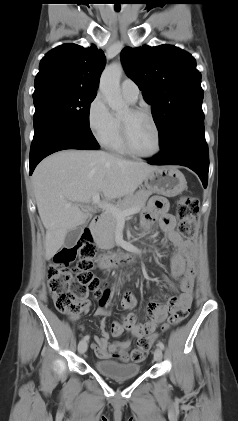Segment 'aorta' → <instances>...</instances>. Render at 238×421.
I'll list each match as a JSON object with an SVG mask.
<instances>
[{"label":"aorta","instance_id":"aorta-1","mask_svg":"<svg viewBox=\"0 0 238 421\" xmlns=\"http://www.w3.org/2000/svg\"><path fill=\"white\" fill-rule=\"evenodd\" d=\"M123 67L120 62L107 66L100 78L99 89L107 101L109 107L114 111H121L127 108V104L121 97L120 79Z\"/></svg>","mask_w":238,"mask_h":421}]
</instances>
